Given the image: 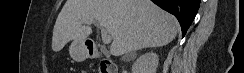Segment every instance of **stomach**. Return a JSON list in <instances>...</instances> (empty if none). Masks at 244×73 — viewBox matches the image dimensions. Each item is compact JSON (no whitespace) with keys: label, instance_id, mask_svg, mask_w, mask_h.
<instances>
[{"label":"stomach","instance_id":"stomach-1","mask_svg":"<svg viewBox=\"0 0 244 73\" xmlns=\"http://www.w3.org/2000/svg\"><path fill=\"white\" fill-rule=\"evenodd\" d=\"M70 56L78 62L84 61L88 57V49L85 41H73L69 47Z\"/></svg>","mask_w":244,"mask_h":73}]
</instances>
